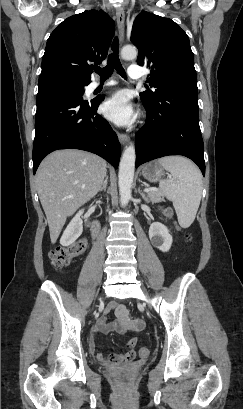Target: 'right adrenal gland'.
Wrapping results in <instances>:
<instances>
[{
    "label": "right adrenal gland",
    "instance_id": "obj_1",
    "mask_svg": "<svg viewBox=\"0 0 243 409\" xmlns=\"http://www.w3.org/2000/svg\"><path fill=\"white\" fill-rule=\"evenodd\" d=\"M107 185H108V176L105 177V180L103 182V186L100 188V192H105L107 189Z\"/></svg>",
    "mask_w": 243,
    "mask_h": 409
}]
</instances>
